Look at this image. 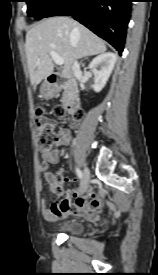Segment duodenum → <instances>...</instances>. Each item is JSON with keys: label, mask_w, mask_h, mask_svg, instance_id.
I'll list each match as a JSON object with an SVG mask.
<instances>
[{"label": "duodenum", "mask_w": 158, "mask_h": 275, "mask_svg": "<svg viewBox=\"0 0 158 275\" xmlns=\"http://www.w3.org/2000/svg\"><path fill=\"white\" fill-rule=\"evenodd\" d=\"M48 85L45 88L47 94L53 97L57 90L65 89V109L69 115H74L80 107L79 88L75 82L68 81L62 73L53 72L47 77Z\"/></svg>", "instance_id": "duodenum-1"}]
</instances>
